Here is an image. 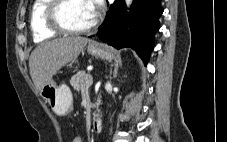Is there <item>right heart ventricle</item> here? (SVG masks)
Instances as JSON below:
<instances>
[{
	"label": "right heart ventricle",
	"instance_id": "1",
	"mask_svg": "<svg viewBox=\"0 0 227 142\" xmlns=\"http://www.w3.org/2000/svg\"><path fill=\"white\" fill-rule=\"evenodd\" d=\"M51 0H34L30 12V28L33 40L37 43L49 40L58 35L57 32L51 30L45 19V12Z\"/></svg>",
	"mask_w": 227,
	"mask_h": 142
}]
</instances>
